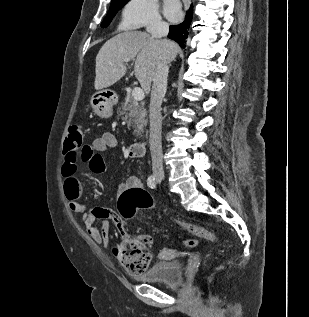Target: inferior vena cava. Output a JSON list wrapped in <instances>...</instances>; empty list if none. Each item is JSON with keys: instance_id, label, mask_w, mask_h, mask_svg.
Returning a JSON list of instances; mask_svg holds the SVG:
<instances>
[{"instance_id": "1", "label": "inferior vena cava", "mask_w": 309, "mask_h": 317, "mask_svg": "<svg viewBox=\"0 0 309 317\" xmlns=\"http://www.w3.org/2000/svg\"><path fill=\"white\" fill-rule=\"evenodd\" d=\"M147 31L151 33L152 37L161 40L162 37H166L169 32V25L160 20H155L147 28ZM163 58L158 62L155 75L153 78V85L151 90L150 100V151L152 158V169L155 172L163 171V155H162V142H161V128H162V116H161V104L165 96L167 89V76H168V61L167 54L173 48V44L163 39Z\"/></svg>"}]
</instances>
